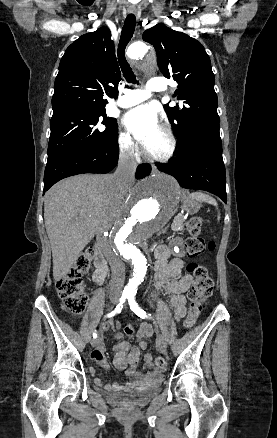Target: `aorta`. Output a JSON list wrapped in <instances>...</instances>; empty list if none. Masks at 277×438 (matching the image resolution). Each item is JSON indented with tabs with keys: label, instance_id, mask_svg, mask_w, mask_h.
Listing matches in <instances>:
<instances>
[{
	"label": "aorta",
	"instance_id": "obj_1",
	"mask_svg": "<svg viewBox=\"0 0 277 438\" xmlns=\"http://www.w3.org/2000/svg\"><path fill=\"white\" fill-rule=\"evenodd\" d=\"M127 55L132 59L147 56L145 69L155 71L156 58L148 56V47L144 43L131 44ZM178 200L176 181L162 173L143 179L132 189L109 234L116 253L133 267L126 293L134 294L137 291L147 271V260L140 249L142 244L167 224L176 212Z\"/></svg>",
	"mask_w": 277,
	"mask_h": 438
}]
</instances>
